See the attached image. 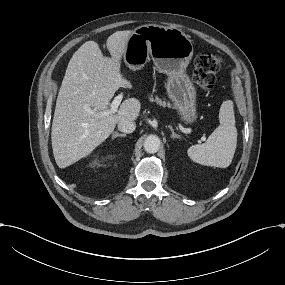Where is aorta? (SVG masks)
<instances>
[{"label":"aorta","instance_id":"obj_1","mask_svg":"<svg viewBox=\"0 0 285 285\" xmlns=\"http://www.w3.org/2000/svg\"><path fill=\"white\" fill-rule=\"evenodd\" d=\"M160 139L156 135H149L144 140V149L147 153L154 154L160 148Z\"/></svg>","mask_w":285,"mask_h":285}]
</instances>
